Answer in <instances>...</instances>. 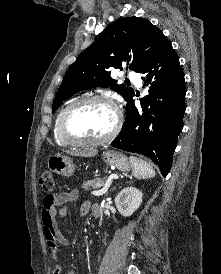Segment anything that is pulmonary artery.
<instances>
[{
    "label": "pulmonary artery",
    "instance_id": "e3ab8cb5",
    "mask_svg": "<svg viewBox=\"0 0 221 274\" xmlns=\"http://www.w3.org/2000/svg\"><path fill=\"white\" fill-rule=\"evenodd\" d=\"M128 78L133 81L134 83H136L137 85H141V80L139 75L136 72H129L128 74Z\"/></svg>",
    "mask_w": 221,
    "mask_h": 274
}]
</instances>
